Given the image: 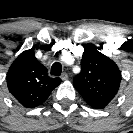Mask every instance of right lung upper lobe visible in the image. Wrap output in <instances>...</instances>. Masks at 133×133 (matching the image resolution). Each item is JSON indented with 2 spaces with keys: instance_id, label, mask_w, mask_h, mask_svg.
I'll return each mask as SVG.
<instances>
[{
  "instance_id": "right-lung-upper-lobe-1",
  "label": "right lung upper lobe",
  "mask_w": 133,
  "mask_h": 133,
  "mask_svg": "<svg viewBox=\"0 0 133 133\" xmlns=\"http://www.w3.org/2000/svg\"><path fill=\"white\" fill-rule=\"evenodd\" d=\"M61 81L48 76L47 68L35 58L32 49L22 52L7 73L9 92L26 108L45 102Z\"/></svg>"
}]
</instances>
